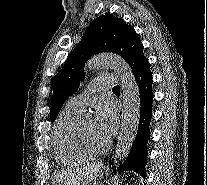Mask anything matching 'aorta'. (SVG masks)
<instances>
[{"mask_svg":"<svg viewBox=\"0 0 207 185\" xmlns=\"http://www.w3.org/2000/svg\"><path fill=\"white\" fill-rule=\"evenodd\" d=\"M86 69H113L120 76L123 111L114 156V163L118 165V163L129 154L137 134L141 105L139 88L132 69L127 62L118 55L104 53L93 56L86 63Z\"/></svg>","mask_w":207,"mask_h":185,"instance_id":"1","label":"aorta"}]
</instances>
